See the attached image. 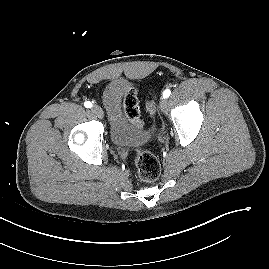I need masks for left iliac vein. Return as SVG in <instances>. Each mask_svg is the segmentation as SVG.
Wrapping results in <instances>:
<instances>
[{
	"label": "left iliac vein",
	"mask_w": 269,
	"mask_h": 269,
	"mask_svg": "<svg viewBox=\"0 0 269 269\" xmlns=\"http://www.w3.org/2000/svg\"><path fill=\"white\" fill-rule=\"evenodd\" d=\"M160 109L164 113L167 112V110H168V101H167L166 98H162L160 100Z\"/></svg>",
	"instance_id": "left-iliac-vein-1"
}]
</instances>
